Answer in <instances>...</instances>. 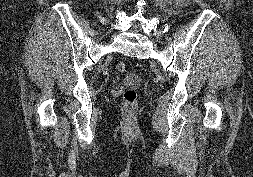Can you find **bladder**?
<instances>
[{
	"label": "bladder",
	"mask_w": 253,
	"mask_h": 177,
	"mask_svg": "<svg viewBox=\"0 0 253 177\" xmlns=\"http://www.w3.org/2000/svg\"><path fill=\"white\" fill-rule=\"evenodd\" d=\"M125 81H126V83H128L130 85H138L140 83L141 79L138 74L131 73V74L127 75Z\"/></svg>",
	"instance_id": "obj_1"
}]
</instances>
